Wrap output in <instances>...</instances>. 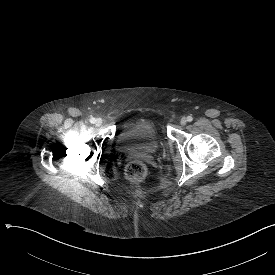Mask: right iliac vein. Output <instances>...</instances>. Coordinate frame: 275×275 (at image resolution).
I'll return each instance as SVG.
<instances>
[{
	"label": "right iliac vein",
	"mask_w": 275,
	"mask_h": 275,
	"mask_svg": "<svg viewBox=\"0 0 275 275\" xmlns=\"http://www.w3.org/2000/svg\"><path fill=\"white\" fill-rule=\"evenodd\" d=\"M95 124H96V126L100 127V126L103 124L102 119H97V120L95 121Z\"/></svg>",
	"instance_id": "right-iliac-vein-1"
}]
</instances>
